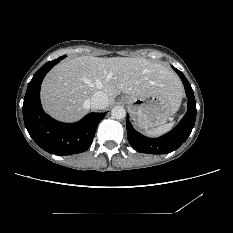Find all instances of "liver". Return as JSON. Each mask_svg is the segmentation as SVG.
Here are the masks:
<instances>
[{
    "mask_svg": "<svg viewBox=\"0 0 233 233\" xmlns=\"http://www.w3.org/2000/svg\"><path fill=\"white\" fill-rule=\"evenodd\" d=\"M97 91L106 94L108 105L121 92L135 96L161 94L177 107L183 97L178 76L160 63L144 58L79 56L59 63L47 74L41 102L55 119L74 122L88 113Z\"/></svg>",
    "mask_w": 233,
    "mask_h": 233,
    "instance_id": "obj_1",
    "label": "liver"
}]
</instances>
